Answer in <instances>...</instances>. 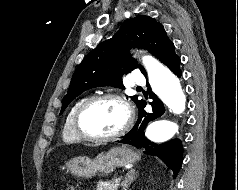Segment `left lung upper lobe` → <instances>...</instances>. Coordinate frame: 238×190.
<instances>
[{
	"label": "left lung upper lobe",
	"instance_id": "obj_1",
	"mask_svg": "<svg viewBox=\"0 0 238 190\" xmlns=\"http://www.w3.org/2000/svg\"><path fill=\"white\" fill-rule=\"evenodd\" d=\"M133 47L150 51L161 62L174 51L164 27L154 18L140 15L125 21L111 39L99 44L80 63L62 100L60 114L85 90L99 86L122 88V76L137 67L146 76L145 69L127 53ZM131 99L136 105L142 101L137 96Z\"/></svg>",
	"mask_w": 238,
	"mask_h": 190
}]
</instances>
